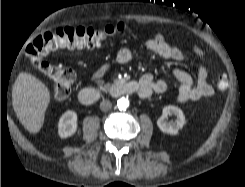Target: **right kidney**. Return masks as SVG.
<instances>
[{"mask_svg": "<svg viewBox=\"0 0 245 187\" xmlns=\"http://www.w3.org/2000/svg\"><path fill=\"white\" fill-rule=\"evenodd\" d=\"M77 130V114L72 110L66 111L58 122V134L61 138H68Z\"/></svg>", "mask_w": 245, "mask_h": 187, "instance_id": "obj_1", "label": "right kidney"}]
</instances>
